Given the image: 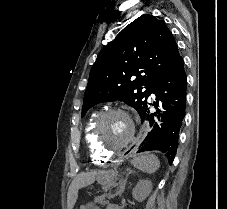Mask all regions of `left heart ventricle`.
Listing matches in <instances>:
<instances>
[{
    "label": "left heart ventricle",
    "mask_w": 227,
    "mask_h": 209,
    "mask_svg": "<svg viewBox=\"0 0 227 209\" xmlns=\"http://www.w3.org/2000/svg\"><path fill=\"white\" fill-rule=\"evenodd\" d=\"M131 127L122 115H112L106 119L101 129V140L108 148H114L124 143L130 136Z\"/></svg>",
    "instance_id": "1"
}]
</instances>
